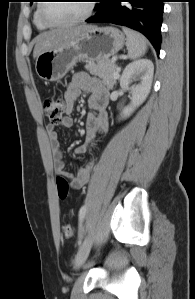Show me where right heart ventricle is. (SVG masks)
<instances>
[{"instance_id": "1", "label": "right heart ventricle", "mask_w": 195, "mask_h": 299, "mask_svg": "<svg viewBox=\"0 0 195 299\" xmlns=\"http://www.w3.org/2000/svg\"><path fill=\"white\" fill-rule=\"evenodd\" d=\"M39 5H40V3L37 4L36 9L34 11L33 22L39 30H46L49 28V26L47 24H45L39 17V13H38Z\"/></svg>"}]
</instances>
